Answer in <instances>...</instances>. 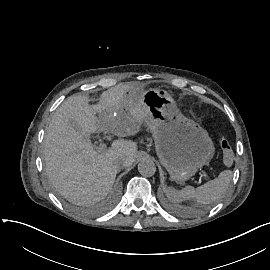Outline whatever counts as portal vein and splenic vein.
I'll list each match as a JSON object with an SVG mask.
<instances>
[{
	"instance_id": "portal-vein-and-splenic-vein-1",
	"label": "portal vein and splenic vein",
	"mask_w": 270,
	"mask_h": 270,
	"mask_svg": "<svg viewBox=\"0 0 270 270\" xmlns=\"http://www.w3.org/2000/svg\"><path fill=\"white\" fill-rule=\"evenodd\" d=\"M107 150V145L105 143H101L97 148H95V151H99L100 153H104ZM208 182L213 180V178L208 177L204 172L201 174Z\"/></svg>"
}]
</instances>
